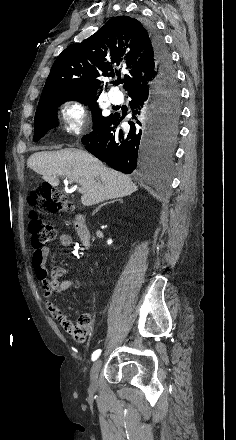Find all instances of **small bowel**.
Segmentation results:
<instances>
[{
  "label": "small bowel",
  "instance_id": "1",
  "mask_svg": "<svg viewBox=\"0 0 236 440\" xmlns=\"http://www.w3.org/2000/svg\"><path fill=\"white\" fill-rule=\"evenodd\" d=\"M72 238L69 234L63 233L57 237V245L61 248L69 247ZM50 253L48 246L35 248L31 256V265L35 275L41 283L44 293L43 302L48 312L60 323V329L69 333L78 343H84L91 330L95 329V322L90 321L91 316L88 313L82 314L78 321H70L68 316L55 304L53 300L54 294H62L69 288L76 285L74 279H62L67 271L64 267L57 266L53 268L50 275L46 270V261ZM87 304H91L86 299Z\"/></svg>",
  "mask_w": 236,
  "mask_h": 440
}]
</instances>
